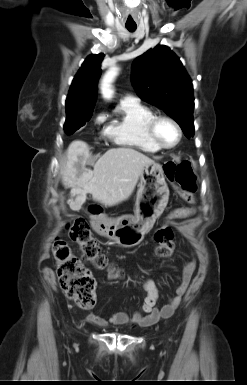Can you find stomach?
I'll return each instance as SVG.
<instances>
[{
    "mask_svg": "<svg viewBox=\"0 0 247 385\" xmlns=\"http://www.w3.org/2000/svg\"><path fill=\"white\" fill-rule=\"evenodd\" d=\"M169 199V188L160 164L144 166L140 174L134 216H123L103 223L100 233L126 248L138 245L163 213Z\"/></svg>",
    "mask_w": 247,
    "mask_h": 385,
    "instance_id": "0dacf381",
    "label": "stomach"
}]
</instances>
